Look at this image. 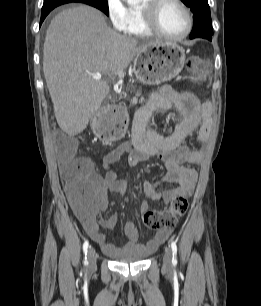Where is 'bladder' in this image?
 <instances>
[{"label":"bladder","mask_w":261,"mask_h":306,"mask_svg":"<svg viewBox=\"0 0 261 306\" xmlns=\"http://www.w3.org/2000/svg\"><path fill=\"white\" fill-rule=\"evenodd\" d=\"M147 258L146 254H131V255H121L115 257V262L117 263H138L143 262Z\"/></svg>","instance_id":"1"}]
</instances>
